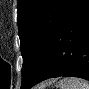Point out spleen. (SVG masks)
I'll return each mask as SVG.
<instances>
[{"mask_svg": "<svg viewBox=\"0 0 89 89\" xmlns=\"http://www.w3.org/2000/svg\"><path fill=\"white\" fill-rule=\"evenodd\" d=\"M59 89H89V83L81 78L69 77L59 81Z\"/></svg>", "mask_w": 89, "mask_h": 89, "instance_id": "1", "label": "spleen"}]
</instances>
